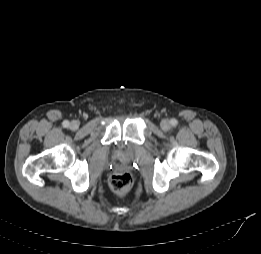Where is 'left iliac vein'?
<instances>
[{
    "label": "left iliac vein",
    "instance_id": "1",
    "mask_svg": "<svg viewBox=\"0 0 261 254\" xmlns=\"http://www.w3.org/2000/svg\"><path fill=\"white\" fill-rule=\"evenodd\" d=\"M160 126L161 128L164 130V131H167L170 129V122L166 119L162 120L161 123H160Z\"/></svg>",
    "mask_w": 261,
    "mask_h": 254
}]
</instances>
